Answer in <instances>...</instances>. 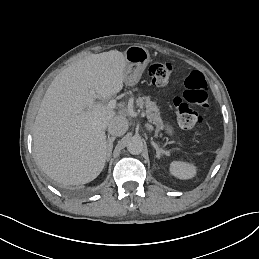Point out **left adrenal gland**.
Listing matches in <instances>:
<instances>
[{"mask_svg":"<svg viewBox=\"0 0 259 259\" xmlns=\"http://www.w3.org/2000/svg\"><path fill=\"white\" fill-rule=\"evenodd\" d=\"M151 145L156 150L158 159H161L163 156L170 157L169 151L159 149V147L153 141L151 142Z\"/></svg>","mask_w":259,"mask_h":259,"instance_id":"left-adrenal-gland-1","label":"left adrenal gland"}]
</instances>
